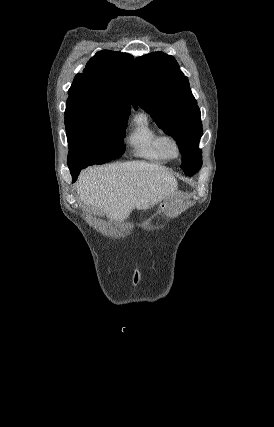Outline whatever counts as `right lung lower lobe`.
Listing matches in <instances>:
<instances>
[{"mask_svg": "<svg viewBox=\"0 0 274 427\" xmlns=\"http://www.w3.org/2000/svg\"><path fill=\"white\" fill-rule=\"evenodd\" d=\"M83 168H85L83 165H73V166H69V169H70V172H71V175H72V180H73V182H75V181H76V179H77V177H78V175H79V172H80Z\"/></svg>", "mask_w": 274, "mask_h": 427, "instance_id": "right-lung-lower-lobe-1", "label": "right lung lower lobe"}]
</instances>
